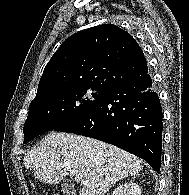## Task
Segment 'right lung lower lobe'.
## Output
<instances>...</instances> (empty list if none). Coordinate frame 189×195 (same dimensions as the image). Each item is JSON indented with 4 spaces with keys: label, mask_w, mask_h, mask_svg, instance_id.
<instances>
[{
    "label": "right lung lower lobe",
    "mask_w": 189,
    "mask_h": 195,
    "mask_svg": "<svg viewBox=\"0 0 189 195\" xmlns=\"http://www.w3.org/2000/svg\"><path fill=\"white\" fill-rule=\"evenodd\" d=\"M55 131L110 143L144 159L159 172L162 108L148 68L143 75L108 89L91 109Z\"/></svg>",
    "instance_id": "1"
}]
</instances>
